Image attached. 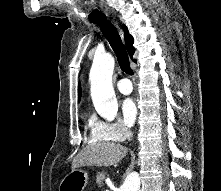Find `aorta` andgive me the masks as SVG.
Returning a JSON list of instances; mask_svg holds the SVG:
<instances>
[{
  "label": "aorta",
  "instance_id": "762f6f07",
  "mask_svg": "<svg viewBox=\"0 0 221 191\" xmlns=\"http://www.w3.org/2000/svg\"><path fill=\"white\" fill-rule=\"evenodd\" d=\"M114 58L110 54L95 56L90 70L91 97L96 111L107 120H113L118 104L112 86ZM140 178L131 172L122 185V191H139Z\"/></svg>",
  "mask_w": 221,
  "mask_h": 191
}]
</instances>
